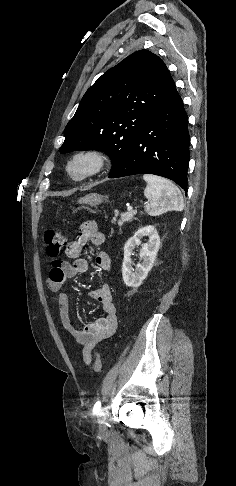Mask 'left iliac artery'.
Here are the masks:
<instances>
[{
	"label": "left iliac artery",
	"instance_id": "44dca946",
	"mask_svg": "<svg viewBox=\"0 0 236 486\" xmlns=\"http://www.w3.org/2000/svg\"><path fill=\"white\" fill-rule=\"evenodd\" d=\"M100 408H101V402L97 401L94 405L93 412L97 413L100 410Z\"/></svg>",
	"mask_w": 236,
	"mask_h": 486
}]
</instances>
